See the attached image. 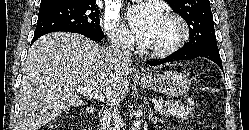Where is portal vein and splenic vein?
Listing matches in <instances>:
<instances>
[{"instance_id":"1","label":"portal vein and splenic vein","mask_w":249,"mask_h":130,"mask_svg":"<svg viewBox=\"0 0 249 130\" xmlns=\"http://www.w3.org/2000/svg\"><path fill=\"white\" fill-rule=\"evenodd\" d=\"M78 91L83 95L99 99L100 101H102V98L99 96V92L90 87L78 86ZM154 108L156 111H160L163 108V104L157 103L155 104Z\"/></svg>"}]
</instances>
